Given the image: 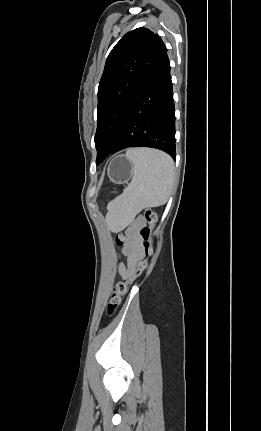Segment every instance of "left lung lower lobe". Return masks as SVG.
Masks as SVG:
<instances>
[{
  "label": "left lung lower lobe",
  "instance_id": "0a47b994",
  "mask_svg": "<svg viewBox=\"0 0 261 431\" xmlns=\"http://www.w3.org/2000/svg\"><path fill=\"white\" fill-rule=\"evenodd\" d=\"M127 147H152L176 158L174 100L167 53L133 98L110 154Z\"/></svg>",
  "mask_w": 261,
  "mask_h": 431
}]
</instances>
